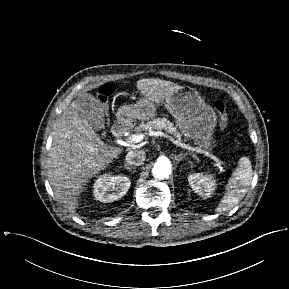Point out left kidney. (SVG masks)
Returning <instances> with one entry per match:
<instances>
[{
  "mask_svg": "<svg viewBox=\"0 0 289 289\" xmlns=\"http://www.w3.org/2000/svg\"><path fill=\"white\" fill-rule=\"evenodd\" d=\"M188 182L193 191L203 198H208L216 187L214 177L211 174L193 173L188 176Z\"/></svg>",
  "mask_w": 289,
  "mask_h": 289,
  "instance_id": "obj_1",
  "label": "left kidney"
}]
</instances>
